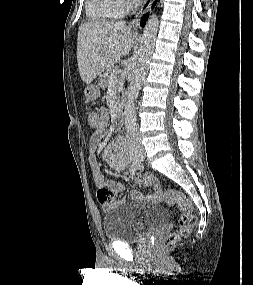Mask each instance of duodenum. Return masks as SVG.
Wrapping results in <instances>:
<instances>
[{
  "label": "duodenum",
  "instance_id": "1",
  "mask_svg": "<svg viewBox=\"0 0 253 285\" xmlns=\"http://www.w3.org/2000/svg\"><path fill=\"white\" fill-rule=\"evenodd\" d=\"M124 116H125L124 104H119L113 122V126L115 129H120L123 126Z\"/></svg>",
  "mask_w": 253,
  "mask_h": 285
}]
</instances>
